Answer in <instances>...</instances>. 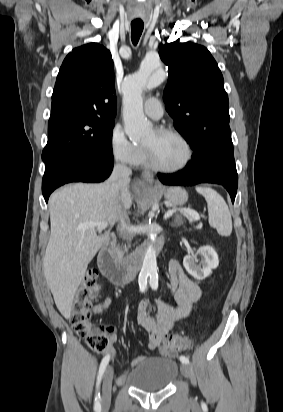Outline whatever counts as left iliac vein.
I'll use <instances>...</instances> for the list:
<instances>
[{"instance_id": "obj_1", "label": "left iliac vein", "mask_w": 283, "mask_h": 412, "mask_svg": "<svg viewBox=\"0 0 283 412\" xmlns=\"http://www.w3.org/2000/svg\"><path fill=\"white\" fill-rule=\"evenodd\" d=\"M181 372L186 378H189L191 375L190 367L185 363L181 365Z\"/></svg>"}]
</instances>
